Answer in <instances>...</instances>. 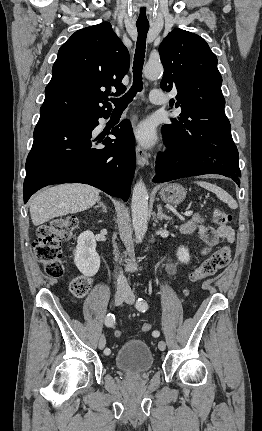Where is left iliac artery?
<instances>
[{
	"label": "left iliac artery",
	"instance_id": "left-iliac-artery-1",
	"mask_svg": "<svg viewBox=\"0 0 262 431\" xmlns=\"http://www.w3.org/2000/svg\"><path fill=\"white\" fill-rule=\"evenodd\" d=\"M136 308L141 312H145L148 309V304L143 298H138V300L136 302ZM153 335L158 337V336H160V332L154 331Z\"/></svg>",
	"mask_w": 262,
	"mask_h": 431
}]
</instances>
